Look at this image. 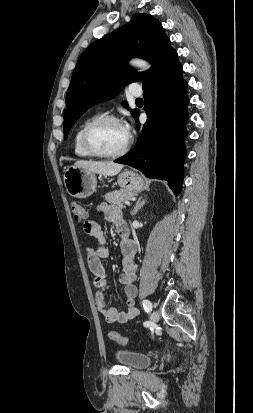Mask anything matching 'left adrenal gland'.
I'll use <instances>...</instances> for the list:
<instances>
[{
  "instance_id": "1",
  "label": "left adrenal gland",
  "mask_w": 253,
  "mask_h": 413,
  "mask_svg": "<svg viewBox=\"0 0 253 413\" xmlns=\"http://www.w3.org/2000/svg\"><path fill=\"white\" fill-rule=\"evenodd\" d=\"M146 203V200L143 199L142 196L139 197V199L137 200L133 211L131 212V214L134 216L137 214V212L144 206V204Z\"/></svg>"
}]
</instances>
